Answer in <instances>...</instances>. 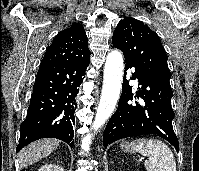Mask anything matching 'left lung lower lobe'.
<instances>
[{
  "mask_svg": "<svg viewBox=\"0 0 199 171\" xmlns=\"http://www.w3.org/2000/svg\"><path fill=\"white\" fill-rule=\"evenodd\" d=\"M131 67L135 68L132 79L137 78L139 81L135 97L142 99V105L138 102L129 103L133 99L132 87L123 79L118 108L104 131V147L126 137L156 135L170 142L178 152L179 142L172 126L174 112L171 107V87L139 70L127 60L124 77Z\"/></svg>",
  "mask_w": 199,
  "mask_h": 171,
  "instance_id": "0a47b994",
  "label": "left lung lower lobe"
}]
</instances>
